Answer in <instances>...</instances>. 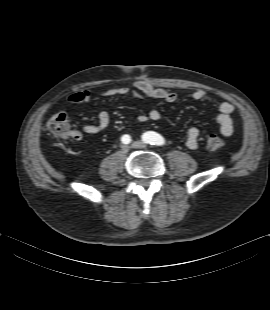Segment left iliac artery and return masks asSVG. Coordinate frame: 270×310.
<instances>
[{
  "label": "left iliac artery",
  "mask_w": 270,
  "mask_h": 310,
  "mask_svg": "<svg viewBox=\"0 0 270 310\" xmlns=\"http://www.w3.org/2000/svg\"><path fill=\"white\" fill-rule=\"evenodd\" d=\"M142 140L150 145L161 146L165 144L164 138L160 134L153 131L144 133L142 135Z\"/></svg>",
  "instance_id": "44dca946"
}]
</instances>
